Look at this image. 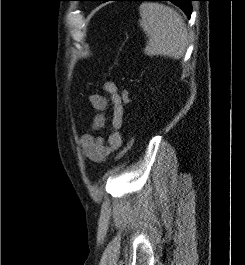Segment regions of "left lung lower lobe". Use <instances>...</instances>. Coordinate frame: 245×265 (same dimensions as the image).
<instances>
[{"label":"left lung lower lobe","instance_id":"obj_1","mask_svg":"<svg viewBox=\"0 0 245 265\" xmlns=\"http://www.w3.org/2000/svg\"><path fill=\"white\" fill-rule=\"evenodd\" d=\"M110 0H104L103 2H107ZM114 1H170L177 6H179L186 14L188 17L191 16V1H196V0H114Z\"/></svg>","mask_w":245,"mask_h":265}]
</instances>
